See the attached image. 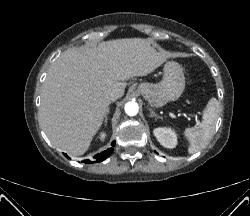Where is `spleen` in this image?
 <instances>
[{"mask_svg":"<svg viewBox=\"0 0 250 216\" xmlns=\"http://www.w3.org/2000/svg\"><path fill=\"white\" fill-rule=\"evenodd\" d=\"M219 110L218 100L211 98L206 105L201 123L185 129L184 135L189 141V154L198 152L208 144L215 130Z\"/></svg>","mask_w":250,"mask_h":216,"instance_id":"1","label":"spleen"}]
</instances>
